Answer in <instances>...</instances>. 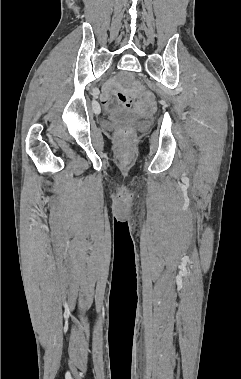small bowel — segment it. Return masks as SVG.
I'll use <instances>...</instances> for the list:
<instances>
[{
	"instance_id": "obj_1",
	"label": "small bowel",
	"mask_w": 241,
	"mask_h": 379,
	"mask_svg": "<svg viewBox=\"0 0 241 379\" xmlns=\"http://www.w3.org/2000/svg\"><path fill=\"white\" fill-rule=\"evenodd\" d=\"M115 89V84L112 83V82H109L105 85V87L103 88V91H102V94H101V101L102 103L104 104H108L109 100H110V95H111V92ZM96 108H98V104L95 103L94 104Z\"/></svg>"
}]
</instances>
